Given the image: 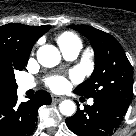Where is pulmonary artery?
Segmentation results:
<instances>
[{"label": "pulmonary artery", "mask_w": 136, "mask_h": 136, "mask_svg": "<svg viewBox=\"0 0 136 136\" xmlns=\"http://www.w3.org/2000/svg\"><path fill=\"white\" fill-rule=\"evenodd\" d=\"M81 50V47L79 46H71L67 48H61L62 54L65 59L67 60H74L77 58ZM34 87V84L31 82H22L19 85V89L22 92H25L29 89H32ZM89 105H93L94 101L91 99L88 101Z\"/></svg>", "instance_id": "obj_1"}]
</instances>
